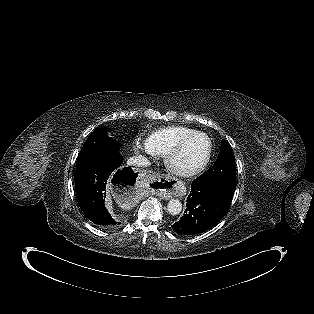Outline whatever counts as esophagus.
I'll list each match as a JSON object with an SVG mask.
<instances>
[{
    "label": "esophagus",
    "mask_w": 314,
    "mask_h": 314,
    "mask_svg": "<svg viewBox=\"0 0 314 314\" xmlns=\"http://www.w3.org/2000/svg\"><path fill=\"white\" fill-rule=\"evenodd\" d=\"M165 180H167L172 186H166L164 189H162V191H156V194L162 197V199H169L172 197V195L176 197H182L186 194L185 188L181 181L170 177H166Z\"/></svg>",
    "instance_id": "34e87169"
}]
</instances>
